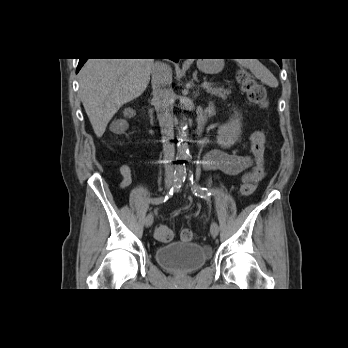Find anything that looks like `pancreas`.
<instances>
[{
    "mask_svg": "<svg viewBox=\"0 0 348 348\" xmlns=\"http://www.w3.org/2000/svg\"><path fill=\"white\" fill-rule=\"evenodd\" d=\"M207 92L210 93L211 95L221 97L223 99H226L228 95L231 94L230 89H223L221 87H207L206 88Z\"/></svg>",
    "mask_w": 348,
    "mask_h": 348,
    "instance_id": "obj_1",
    "label": "pancreas"
}]
</instances>
